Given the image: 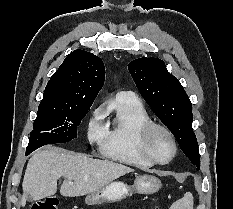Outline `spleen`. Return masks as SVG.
<instances>
[{
    "instance_id": "obj_1",
    "label": "spleen",
    "mask_w": 233,
    "mask_h": 209,
    "mask_svg": "<svg viewBox=\"0 0 233 209\" xmlns=\"http://www.w3.org/2000/svg\"><path fill=\"white\" fill-rule=\"evenodd\" d=\"M193 196L187 192L183 198L174 202L170 209H193Z\"/></svg>"
}]
</instances>
